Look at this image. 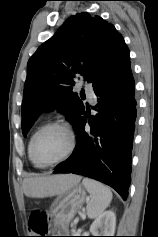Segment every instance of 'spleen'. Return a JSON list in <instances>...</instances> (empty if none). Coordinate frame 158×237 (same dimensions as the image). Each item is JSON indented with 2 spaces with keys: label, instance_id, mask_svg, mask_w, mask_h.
<instances>
[{
  "label": "spleen",
  "instance_id": "spleen-1",
  "mask_svg": "<svg viewBox=\"0 0 158 237\" xmlns=\"http://www.w3.org/2000/svg\"><path fill=\"white\" fill-rule=\"evenodd\" d=\"M82 183L91 195V200L86 206L87 215L89 218L95 219L109 206L112 192L104 184L90 178H84Z\"/></svg>",
  "mask_w": 158,
  "mask_h": 237
}]
</instances>
